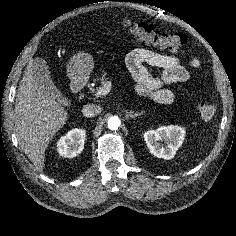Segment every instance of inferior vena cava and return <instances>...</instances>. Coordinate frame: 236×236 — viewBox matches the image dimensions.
Wrapping results in <instances>:
<instances>
[{"label":"inferior vena cava","mask_w":236,"mask_h":236,"mask_svg":"<svg viewBox=\"0 0 236 236\" xmlns=\"http://www.w3.org/2000/svg\"><path fill=\"white\" fill-rule=\"evenodd\" d=\"M102 111V108L96 104H87L82 109V114L85 117H94Z\"/></svg>","instance_id":"inferior-vena-cava-1"}]
</instances>
